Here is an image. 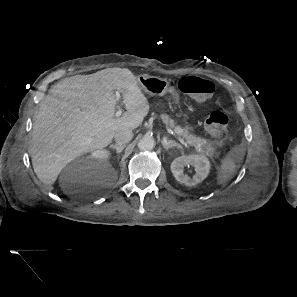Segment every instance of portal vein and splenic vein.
<instances>
[{
  "mask_svg": "<svg viewBox=\"0 0 297 297\" xmlns=\"http://www.w3.org/2000/svg\"><path fill=\"white\" fill-rule=\"evenodd\" d=\"M120 93L119 92H116V98L117 99H120ZM121 114H122V110H118L116 113H115V116L116 117H119V116H121ZM186 144H188V145H192V143L190 142V141H188V140H186V142H185Z\"/></svg>",
  "mask_w": 297,
  "mask_h": 297,
  "instance_id": "obj_1",
  "label": "portal vein and splenic vein"
}]
</instances>
